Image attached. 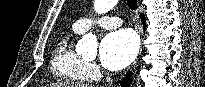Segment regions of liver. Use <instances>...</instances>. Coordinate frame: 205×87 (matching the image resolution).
I'll return each instance as SVG.
<instances>
[{
    "instance_id": "1",
    "label": "liver",
    "mask_w": 205,
    "mask_h": 87,
    "mask_svg": "<svg viewBox=\"0 0 205 87\" xmlns=\"http://www.w3.org/2000/svg\"><path fill=\"white\" fill-rule=\"evenodd\" d=\"M50 87H92L87 84H74L73 82H61L56 84H51Z\"/></svg>"
}]
</instances>
